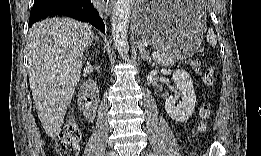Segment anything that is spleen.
I'll return each mask as SVG.
<instances>
[{"mask_svg": "<svg viewBox=\"0 0 261 156\" xmlns=\"http://www.w3.org/2000/svg\"><path fill=\"white\" fill-rule=\"evenodd\" d=\"M207 42L212 46L215 47L217 44L216 35L214 34L212 29H209L206 36Z\"/></svg>", "mask_w": 261, "mask_h": 156, "instance_id": "spleen-1", "label": "spleen"}]
</instances>
